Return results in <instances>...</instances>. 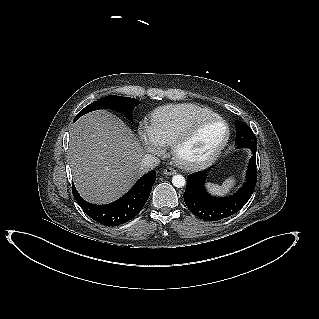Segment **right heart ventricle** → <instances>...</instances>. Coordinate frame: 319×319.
Here are the masks:
<instances>
[{"mask_svg": "<svg viewBox=\"0 0 319 319\" xmlns=\"http://www.w3.org/2000/svg\"><path fill=\"white\" fill-rule=\"evenodd\" d=\"M214 114L209 108L191 103L165 105L151 113L150 127L162 142L171 145L193 121Z\"/></svg>", "mask_w": 319, "mask_h": 319, "instance_id": "1", "label": "right heart ventricle"}]
</instances>
